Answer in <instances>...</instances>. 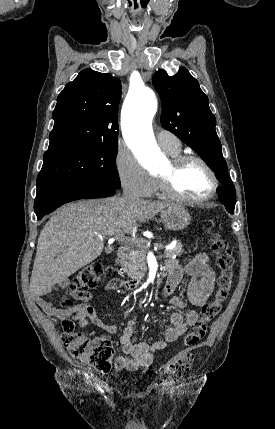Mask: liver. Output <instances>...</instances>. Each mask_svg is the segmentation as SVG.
Instances as JSON below:
<instances>
[{
  "mask_svg": "<svg viewBox=\"0 0 275 429\" xmlns=\"http://www.w3.org/2000/svg\"><path fill=\"white\" fill-rule=\"evenodd\" d=\"M175 205L113 196L61 207L38 237L30 287L40 295L49 293L55 284L93 262L101 254L106 238L131 233L138 222H146Z\"/></svg>",
  "mask_w": 275,
  "mask_h": 429,
  "instance_id": "liver-1",
  "label": "liver"
}]
</instances>
